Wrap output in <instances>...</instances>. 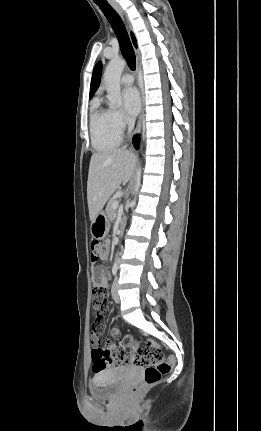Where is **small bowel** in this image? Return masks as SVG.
<instances>
[{
	"instance_id": "small-bowel-1",
	"label": "small bowel",
	"mask_w": 261,
	"mask_h": 431,
	"mask_svg": "<svg viewBox=\"0 0 261 431\" xmlns=\"http://www.w3.org/2000/svg\"><path fill=\"white\" fill-rule=\"evenodd\" d=\"M107 255L103 258L106 259ZM109 273L104 266H95L92 270V280H93V289L91 291L90 300L92 301V306L94 309L95 316H98L93 319V332H91V343L93 347L96 349L100 348L101 335L103 331V324L105 323L107 314V295L105 294L104 289L107 288L109 283ZM111 334L113 336H117L119 334V330L117 328L111 329ZM110 352L111 360L116 362V366L122 363L123 356L119 354L118 347L115 343L111 344L108 348Z\"/></svg>"
}]
</instances>
